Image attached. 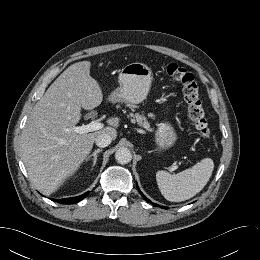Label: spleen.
Returning <instances> with one entry per match:
<instances>
[{"instance_id": "3e777b00", "label": "spleen", "mask_w": 260, "mask_h": 260, "mask_svg": "<svg viewBox=\"0 0 260 260\" xmlns=\"http://www.w3.org/2000/svg\"><path fill=\"white\" fill-rule=\"evenodd\" d=\"M214 169L213 160L202 159L192 168L175 175L158 171L156 180L161 194L171 202H181L194 197L208 183Z\"/></svg>"}]
</instances>
